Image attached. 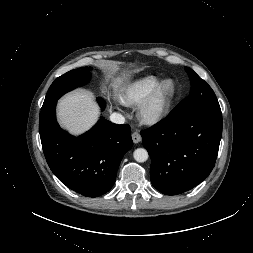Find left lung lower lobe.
Instances as JSON below:
<instances>
[{
    "label": "left lung lower lobe",
    "mask_w": 253,
    "mask_h": 253,
    "mask_svg": "<svg viewBox=\"0 0 253 253\" xmlns=\"http://www.w3.org/2000/svg\"><path fill=\"white\" fill-rule=\"evenodd\" d=\"M141 136L151 157L152 185L166 195L180 194L212 171L222 136V114L169 115Z\"/></svg>",
    "instance_id": "1"
}]
</instances>
